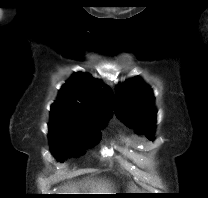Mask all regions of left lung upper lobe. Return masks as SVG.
<instances>
[{"label": "left lung upper lobe", "instance_id": "5c2ea615", "mask_svg": "<svg viewBox=\"0 0 208 198\" xmlns=\"http://www.w3.org/2000/svg\"><path fill=\"white\" fill-rule=\"evenodd\" d=\"M117 116L138 133L154 139L156 110L152 89L141 78L134 77L117 87Z\"/></svg>", "mask_w": 208, "mask_h": 198}]
</instances>
